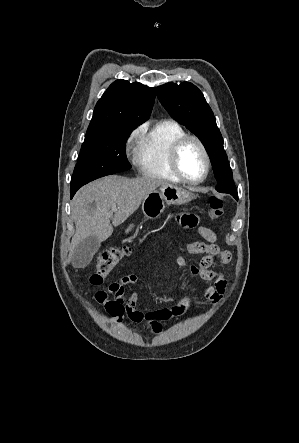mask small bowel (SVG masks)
I'll use <instances>...</instances> for the list:
<instances>
[{
    "label": "small bowel",
    "instance_id": "c3829d8e",
    "mask_svg": "<svg viewBox=\"0 0 299 443\" xmlns=\"http://www.w3.org/2000/svg\"><path fill=\"white\" fill-rule=\"evenodd\" d=\"M175 220L184 228L197 229L198 234L205 240V242L186 243V250L189 254L203 255L198 263L191 264L183 256H179L176 260L178 266L206 284L204 297L207 301L211 303L219 301L225 292L227 280L222 272L213 270L211 267L216 262L228 264L231 261L230 252L217 244L216 234L210 228L200 225L196 215L181 213L176 215ZM136 281L137 275L129 274L119 281L111 283L106 290L95 293V300L104 306L112 316L113 322L118 326L124 325V316H127L134 322H147L152 331L158 334L162 330V321L184 314L193 301L192 294L187 293L171 307L150 312L140 311L137 308V295H126V289Z\"/></svg>",
    "mask_w": 299,
    "mask_h": 443
}]
</instances>
